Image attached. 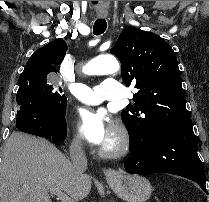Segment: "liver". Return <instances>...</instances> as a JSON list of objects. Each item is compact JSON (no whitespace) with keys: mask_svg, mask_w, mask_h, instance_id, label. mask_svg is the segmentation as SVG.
I'll use <instances>...</instances> for the list:
<instances>
[{"mask_svg":"<svg viewBox=\"0 0 209 202\" xmlns=\"http://www.w3.org/2000/svg\"><path fill=\"white\" fill-rule=\"evenodd\" d=\"M89 175H78L69 159L46 139L21 132L8 138L0 163V202H51L60 189L72 199L91 190Z\"/></svg>","mask_w":209,"mask_h":202,"instance_id":"1","label":"liver"}]
</instances>
